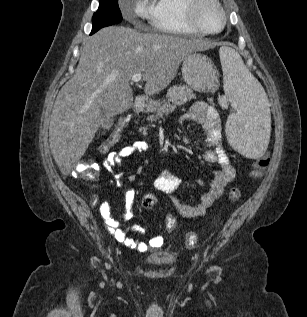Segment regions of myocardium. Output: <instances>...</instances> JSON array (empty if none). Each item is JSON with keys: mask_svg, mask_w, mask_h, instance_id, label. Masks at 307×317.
Returning a JSON list of instances; mask_svg holds the SVG:
<instances>
[{"mask_svg": "<svg viewBox=\"0 0 307 317\" xmlns=\"http://www.w3.org/2000/svg\"><path fill=\"white\" fill-rule=\"evenodd\" d=\"M187 1H188V5H187L188 20L194 29H196L201 34H205V35L217 34L223 30L227 21V16L219 0H187ZM206 4H212L213 6H215L220 14L221 24L217 30H207L201 23L199 13L201 8Z\"/></svg>", "mask_w": 307, "mask_h": 317, "instance_id": "f54148a6", "label": "myocardium"}]
</instances>
